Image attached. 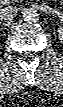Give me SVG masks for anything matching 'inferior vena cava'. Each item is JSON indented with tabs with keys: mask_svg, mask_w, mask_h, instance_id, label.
Returning <instances> with one entry per match:
<instances>
[{
	"mask_svg": "<svg viewBox=\"0 0 63 107\" xmlns=\"http://www.w3.org/2000/svg\"><path fill=\"white\" fill-rule=\"evenodd\" d=\"M18 13V8L12 5L1 8L0 10V18L1 20L8 21L12 20Z\"/></svg>",
	"mask_w": 63,
	"mask_h": 107,
	"instance_id": "inferior-vena-cava-1",
	"label": "inferior vena cava"
}]
</instances>
